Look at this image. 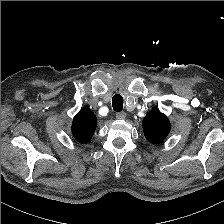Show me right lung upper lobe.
I'll return each instance as SVG.
<instances>
[{
  "mask_svg": "<svg viewBox=\"0 0 224 224\" xmlns=\"http://www.w3.org/2000/svg\"><path fill=\"white\" fill-rule=\"evenodd\" d=\"M97 126V117L88 108H82L74 117L72 123V134L81 143L91 140Z\"/></svg>",
  "mask_w": 224,
  "mask_h": 224,
  "instance_id": "cb5924a9",
  "label": "right lung upper lobe"
}]
</instances>
